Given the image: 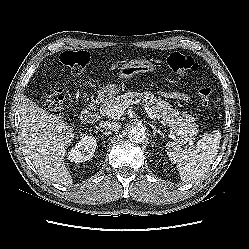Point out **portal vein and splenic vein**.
<instances>
[{
    "label": "portal vein and splenic vein",
    "mask_w": 249,
    "mask_h": 249,
    "mask_svg": "<svg viewBox=\"0 0 249 249\" xmlns=\"http://www.w3.org/2000/svg\"><path fill=\"white\" fill-rule=\"evenodd\" d=\"M145 110L148 114V116L154 120L157 121L159 118L156 116V114L153 112V110L151 108H149L147 105L145 106ZM124 112V109L121 105H115L112 109L109 110L108 112V116L111 118H120V116H122ZM192 141L190 142V145H192Z\"/></svg>",
    "instance_id": "portal-vein-and-splenic-vein-1"
}]
</instances>
